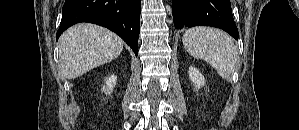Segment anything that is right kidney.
<instances>
[{
  "instance_id": "right-kidney-1",
  "label": "right kidney",
  "mask_w": 299,
  "mask_h": 130,
  "mask_svg": "<svg viewBox=\"0 0 299 130\" xmlns=\"http://www.w3.org/2000/svg\"><path fill=\"white\" fill-rule=\"evenodd\" d=\"M117 77L115 75H111L105 79V86H103L102 91L106 94H111L113 88L116 84Z\"/></svg>"
}]
</instances>
